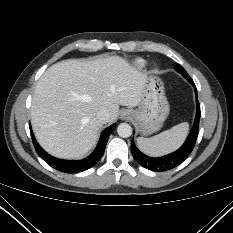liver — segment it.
<instances>
[{"label":"liver","mask_w":233,"mask_h":233,"mask_svg":"<svg viewBox=\"0 0 233 233\" xmlns=\"http://www.w3.org/2000/svg\"><path fill=\"white\" fill-rule=\"evenodd\" d=\"M147 75L125 59H68L49 67L37 82L31 124L39 144L52 156L81 159L95 146L100 110L114 122L119 105H139Z\"/></svg>","instance_id":"1"}]
</instances>
